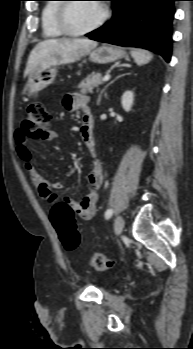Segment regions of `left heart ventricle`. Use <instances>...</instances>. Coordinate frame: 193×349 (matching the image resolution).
<instances>
[{"label": "left heart ventricle", "instance_id": "1", "mask_svg": "<svg viewBox=\"0 0 193 349\" xmlns=\"http://www.w3.org/2000/svg\"><path fill=\"white\" fill-rule=\"evenodd\" d=\"M102 15V6L94 2L73 3L67 12L69 26L83 30L93 25Z\"/></svg>", "mask_w": 193, "mask_h": 349}]
</instances>
